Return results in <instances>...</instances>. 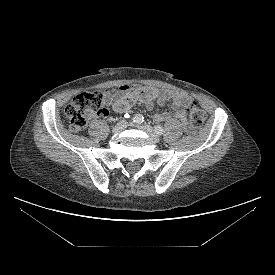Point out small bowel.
I'll return each mask as SVG.
<instances>
[{"label":"small bowel","mask_w":275,"mask_h":275,"mask_svg":"<svg viewBox=\"0 0 275 275\" xmlns=\"http://www.w3.org/2000/svg\"><path fill=\"white\" fill-rule=\"evenodd\" d=\"M106 103L112 106L117 114L126 113L136 102H141L147 109L155 105L162 106L170 102L169 110L155 116L156 121L177 120L185 132L193 134L194 128L187 122L185 109L192 102L190 96L182 91L172 89H159L155 87L121 86L113 92H107ZM107 111L105 114L106 115Z\"/></svg>","instance_id":"obj_1"}]
</instances>
